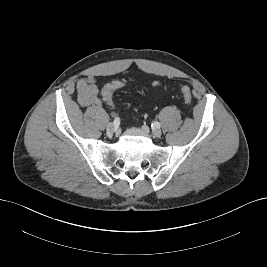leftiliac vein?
<instances>
[{
	"mask_svg": "<svg viewBox=\"0 0 267 267\" xmlns=\"http://www.w3.org/2000/svg\"><path fill=\"white\" fill-rule=\"evenodd\" d=\"M142 128H143L144 131L147 130V127H146L145 125L142 126ZM152 134H153L154 137L159 138V137L161 136L162 132H161L160 129H158V128H154V129L152 130Z\"/></svg>",
	"mask_w": 267,
	"mask_h": 267,
	"instance_id": "4c4485c4",
	"label": "left iliac vein"
}]
</instances>
